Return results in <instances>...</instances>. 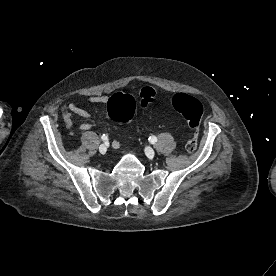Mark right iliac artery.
<instances>
[{
  "label": "right iliac artery",
  "instance_id": "82829eb1",
  "mask_svg": "<svg viewBox=\"0 0 276 276\" xmlns=\"http://www.w3.org/2000/svg\"><path fill=\"white\" fill-rule=\"evenodd\" d=\"M101 139H102L103 141H108V136L105 135V134H103V135L101 136Z\"/></svg>",
  "mask_w": 276,
  "mask_h": 276
}]
</instances>
